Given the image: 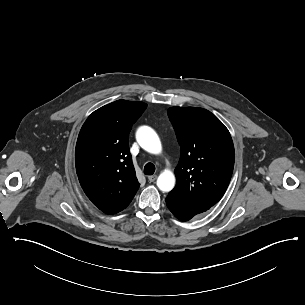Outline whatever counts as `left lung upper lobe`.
<instances>
[{
  "mask_svg": "<svg viewBox=\"0 0 305 305\" xmlns=\"http://www.w3.org/2000/svg\"><path fill=\"white\" fill-rule=\"evenodd\" d=\"M169 119L181 148L176 186L169 192L185 206L208 210L224 195L234 167V145L228 129L210 111L171 107Z\"/></svg>",
  "mask_w": 305,
  "mask_h": 305,
  "instance_id": "5c2ea615",
  "label": "left lung upper lobe"
}]
</instances>
